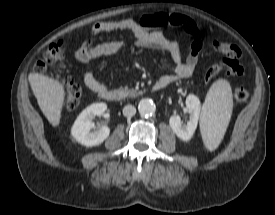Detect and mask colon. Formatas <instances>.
Returning a JSON list of instances; mask_svg holds the SVG:
<instances>
[{
    "instance_id": "1",
    "label": "colon",
    "mask_w": 275,
    "mask_h": 215,
    "mask_svg": "<svg viewBox=\"0 0 275 215\" xmlns=\"http://www.w3.org/2000/svg\"><path fill=\"white\" fill-rule=\"evenodd\" d=\"M165 23L173 26L183 27L190 34L195 32V24L188 18L180 15L167 16ZM216 52L223 55L220 64L214 65L205 72V80L212 81L220 74L225 73L232 76H239L243 73L241 62L242 53L240 49L232 44L217 41L213 44ZM65 50L63 41H57L48 46L42 57L36 62L34 70L37 73H44L49 64L58 62L64 58ZM81 89L74 81L67 80L64 82V100L63 107L72 111L80 104ZM234 96L238 101H246L249 98V92L244 88H237Z\"/></svg>"
}]
</instances>
